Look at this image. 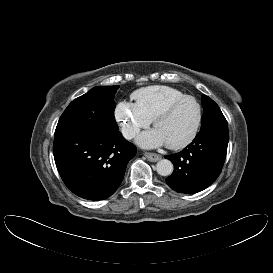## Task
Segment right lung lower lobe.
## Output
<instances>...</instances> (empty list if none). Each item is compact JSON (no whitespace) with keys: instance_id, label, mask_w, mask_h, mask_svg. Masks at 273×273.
I'll list each match as a JSON object with an SVG mask.
<instances>
[{"instance_id":"right-lung-lower-lobe-1","label":"right lung lower lobe","mask_w":273,"mask_h":273,"mask_svg":"<svg viewBox=\"0 0 273 273\" xmlns=\"http://www.w3.org/2000/svg\"><path fill=\"white\" fill-rule=\"evenodd\" d=\"M53 154L65 185L77 196L103 200L121 184L136 147L119 131H62L54 135Z\"/></svg>"}]
</instances>
